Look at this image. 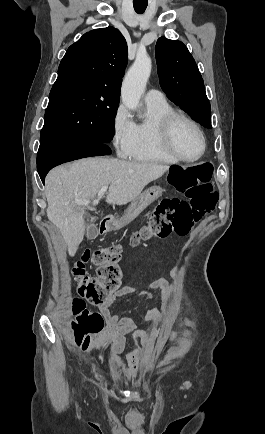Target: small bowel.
Here are the masks:
<instances>
[{
    "instance_id": "c3829d8e",
    "label": "small bowel",
    "mask_w": 265,
    "mask_h": 434,
    "mask_svg": "<svg viewBox=\"0 0 265 434\" xmlns=\"http://www.w3.org/2000/svg\"><path fill=\"white\" fill-rule=\"evenodd\" d=\"M179 273V267H174L171 270L172 278L178 279ZM157 290L161 291L162 294L161 308L148 310L143 315L145 320L154 322L158 327V333L154 339L145 331L138 329L132 318L121 317L112 314L110 311L111 305L118 298L128 297L132 299L142 297L147 300H152ZM175 294V285L170 284L163 278L154 280L145 286L125 285L120 287L99 305V312L104 317L106 326L104 330L94 335L92 345L90 341L91 347L89 346L90 349L88 347L89 352H97L101 348H107L112 372L117 379L125 380L128 377L136 376L139 365L148 363L154 342L162 341L165 345H172L180 339V335L177 332L163 328L165 320L173 310V298ZM127 336H133L135 339L140 340L143 352L140 357L135 354L129 355L126 359V368H124L122 353L126 347ZM87 352H82V354L85 355Z\"/></svg>"
}]
</instances>
